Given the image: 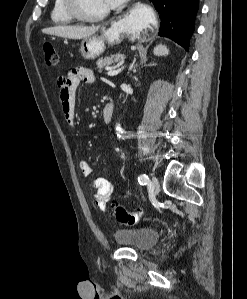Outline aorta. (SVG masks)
<instances>
[{
  "label": "aorta",
  "mask_w": 247,
  "mask_h": 299,
  "mask_svg": "<svg viewBox=\"0 0 247 299\" xmlns=\"http://www.w3.org/2000/svg\"><path fill=\"white\" fill-rule=\"evenodd\" d=\"M115 130H116L117 134L119 135V137L124 133V131L122 130L119 123H116Z\"/></svg>",
  "instance_id": "1"
}]
</instances>
